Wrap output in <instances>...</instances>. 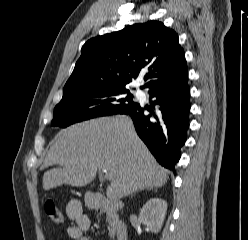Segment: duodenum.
<instances>
[{
  "label": "duodenum",
  "mask_w": 248,
  "mask_h": 240,
  "mask_svg": "<svg viewBox=\"0 0 248 240\" xmlns=\"http://www.w3.org/2000/svg\"><path fill=\"white\" fill-rule=\"evenodd\" d=\"M91 207L100 214L116 213L122 209V203L119 200H110L104 198L98 193L92 195ZM115 240H129L128 230L125 225L117 224L115 231Z\"/></svg>",
  "instance_id": "obj_1"
}]
</instances>
